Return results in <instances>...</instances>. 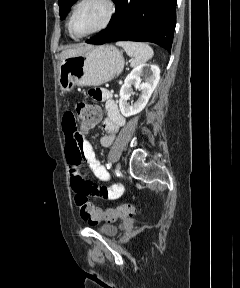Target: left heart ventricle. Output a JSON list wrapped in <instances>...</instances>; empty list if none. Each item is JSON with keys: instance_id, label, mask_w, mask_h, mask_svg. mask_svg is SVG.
I'll return each mask as SVG.
<instances>
[{"instance_id": "obj_1", "label": "left heart ventricle", "mask_w": 240, "mask_h": 288, "mask_svg": "<svg viewBox=\"0 0 240 288\" xmlns=\"http://www.w3.org/2000/svg\"><path fill=\"white\" fill-rule=\"evenodd\" d=\"M107 8L101 0H89L79 7L73 19V30L76 34H86L99 27Z\"/></svg>"}]
</instances>
